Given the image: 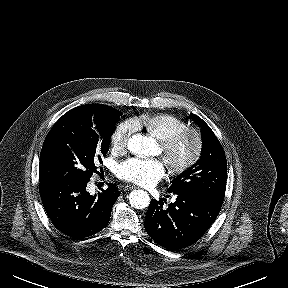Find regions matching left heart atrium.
Wrapping results in <instances>:
<instances>
[{
	"instance_id": "1",
	"label": "left heart atrium",
	"mask_w": 288,
	"mask_h": 288,
	"mask_svg": "<svg viewBox=\"0 0 288 288\" xmlns=\"http://www.w3.org/2000/svg\"><path fill=\"white\" fill-rule=\"evenodd\" d=\"M118 175L128 182L149 187L165 176V164L160 159L134 158L118 166Z\"/></svg>"
}]
</instances>
